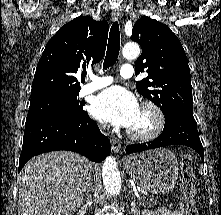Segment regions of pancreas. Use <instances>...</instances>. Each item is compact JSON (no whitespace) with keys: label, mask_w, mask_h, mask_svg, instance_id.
<instances>
[{"label":"pancreas","mask_w":221,"mask_h":215,"mask_svg":"<svg viewBox=\"0 0 221 215\" xmlns=\"http://www.w3.org/2000/svg\"><path fill=\"white\" fill-rule=\"evenodd\" d=\"M142 200V205L144 207H151L152 205H156L157 202L154 201L151 197H146V196H142V198L140 199Z\"/></svg>","instance_id":"obj_1"}]
</instances>
